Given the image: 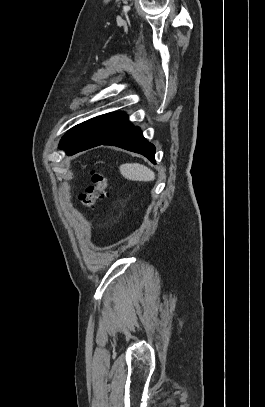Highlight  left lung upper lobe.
<instances>
[{
	"instance_id": "1",
	"label": "left lung upper lobe",
	"mask_w": 265,
	"mask_h": 407,
	"mask_svg": "<svg viewBox=\"0 0 265 407\" xmlns=\"http://www.w3.org/2000/svg\"><path fill=\"white\" fill-rule=\"evenodd\" d=\"M132 124L125 113L114 112L97 116L71 128L62 138L59 148L67 150L102 143Z\"/></svg>"
}]
</instances>
